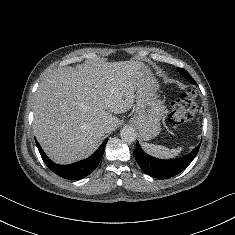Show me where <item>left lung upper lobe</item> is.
<instances>
[{
  "label": "left lung upper lobe",
  "mask_w": 235,
  "mask_h": 235,
  "mask_svg": "<svg viewBox=\"0 0 235 235\" xmlns=\"http://www.w3.org/2000/svg\"><path fill=\"white\" fill-rule=\"evenodd\" d=\"M178 70L181 72V74H182L189 82H191V83H193V84H196L195 80L190 76V74H189L186 70H184V69H182V68H178Z\"/></svg>",
  "instance_id": "5c2ea615"
}]
</instances>
